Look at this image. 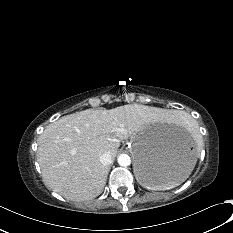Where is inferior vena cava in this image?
<instances>
[{
  "mask_svg": "<svg viewBox=\"0 0 233 233\" xmlns=\"http://www.w3.org/2000/svg\"><path fill=\"white\" fill-rule=\"evenodd\" d=\"M100 162L103 165H110L112 163V155L110 152H105L100 156Z\"/></svg>",
  "mask_w": 233,
  "mask_h": 233,
  "instance_id": "inferior-vena-cava-1",
  "label": "inferior vena cava"
}]
</instances>
